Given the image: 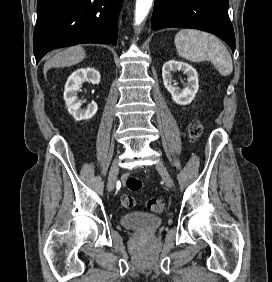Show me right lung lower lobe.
<instances>
[{
	"label": "right lung lower lobe",
	"mask_w": 272,
	"mask_h": 282,
	"mask_svg": "<svg viewBox=\"0 0 272 282\" xmlns=\"http://www.w3.org/2000/svg\"><path fill=\"white\" fill-rule=\"evenodd\" d=\"M123 0H38L36 62L50 50L83 43L114 44Z\"/></svg>",
	"instance_id": "obj_1"
}]
</instances>
